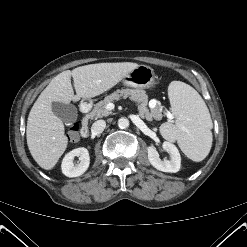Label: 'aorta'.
<instances>
[{
	"label": "aorta",
	"instance_id": "1",
	"mask_svg": "<svg viewBox=\"0 0 247 247\" xmlns=\"http://www.w3.org/2000/svg\"><path fill=\"white\" fill-rule=\"evenodd\" d=\"M118 126L121 128V129H125L129 126V120L127 118H120L118 120Z\"/></svg>",
	"mask_w": 247,
	"mask_h": 247
}]
</instances>
